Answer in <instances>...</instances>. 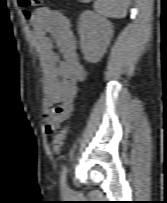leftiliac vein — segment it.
<instances>
[{"label":"left iliac vein","mask_w":167,"mask_h":203,"mask_svg":"<svg viewBox=\"0 0 167 203\" xmlns=\"http://www.w3.org/2000/svg\"><path fill=\"white\" fill-rule=\"evenodd\" d=\"M68 191H69V189H68V188H66V189H65V192H68Z\"/></svg>","instance_id":"4c4485c4"}]
</instances>
